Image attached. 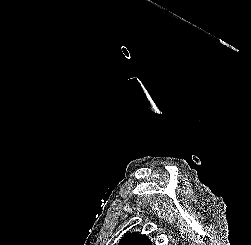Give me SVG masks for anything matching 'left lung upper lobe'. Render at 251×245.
I'll return each mask as SVG.
<instances>
[{"label":"left lung upper lobe","instance_id":"1","mask_svg":"<svg viewBox=\"0 0 251 245\" xmlns=\"http://www.w3.org/2000/svg\"><path fill=\"white\" fill-rule=\"evenodd\" d=\"M119 245H152L149 238L146 235H142L139 232H133L126 234Z\"/></svg>","mask_w":251,"mask_h":245}]
</instances>
